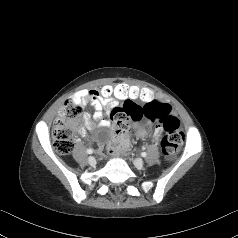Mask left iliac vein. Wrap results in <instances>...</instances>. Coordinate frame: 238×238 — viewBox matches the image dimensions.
<instances>
[{"label": "left iliac vein", "mask_w": 238, "mask_h": 238, "mask_svg": "<svg viewBox=\"0 0 238 238\" xmlns=\"http://www.w3.org/2000/svg\"><path fill=\"white\" fill-rule=\"evenodd\" d=\"M134 165L138 168V169H142L143 166H144V163L141 159L139 158H136L134 161H133Z\"/></svg>", "instance_id": "4c4485c4"}]
</instances>
